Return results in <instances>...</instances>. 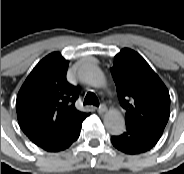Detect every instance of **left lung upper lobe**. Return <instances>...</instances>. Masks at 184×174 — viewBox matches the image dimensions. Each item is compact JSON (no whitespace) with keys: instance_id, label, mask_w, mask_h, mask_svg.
<instances>
[{"instance_id":"obj_1","label":"left lung upper lobe","mask_w":184,"mask_h":174,"mask_svg":"<svg viewBox=\"0 0 184 174\" xmlns=\"http://www.w3.org/2000/svg\"><path fill=\"white\" fill-rule=\"evenodd\" d=\"M111 74L127 111L126 126L161 136L170 115V96L157 74L131 49L115 56Z\"/></svg>"}]
</instances>
